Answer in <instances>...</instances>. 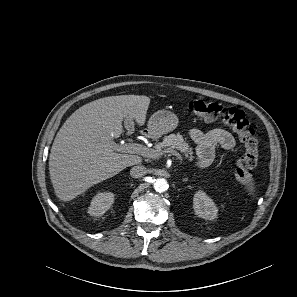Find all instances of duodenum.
<instances>
[{
  "label": "duodenum",
  "instance_id": "410a0bca",
  "mask_svg": "<svg viewBox=\"0 0 297 297\" xmlns=\"http://www.w3.org/2000/svg\"><path fill=\"white\" fill-rule=\"evenodd\" d=\"M150 133H151V132H150L149 130H143L141 134H142L143 136H145V135H150Z\"/></svg>",
  "mask_w": 297,
  "mask_h": 297
}]
</instances>
